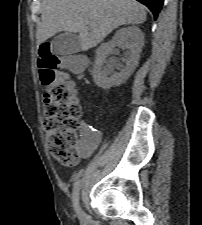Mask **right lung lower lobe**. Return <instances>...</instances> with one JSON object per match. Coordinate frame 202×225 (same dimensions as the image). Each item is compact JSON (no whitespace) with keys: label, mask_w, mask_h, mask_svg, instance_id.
Wrapping results in <instances>:
<instances>
[{"label":"right lung lower lobe","mask_w":202,"mask_h":225,"mask_svg":"<svg viewBox=\"0 0 202 225\" xmlns=\"http://www.w3.org/2000/svg\"><path fill=\"white\" fill-rule=\"evenodd\" d=\"M140 3L146 5L154 15L156 19L163 5L164 0H137Z\"/></svg>","instance_id":"obj_1"}]
</instances>
